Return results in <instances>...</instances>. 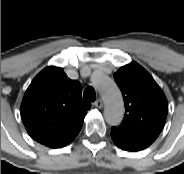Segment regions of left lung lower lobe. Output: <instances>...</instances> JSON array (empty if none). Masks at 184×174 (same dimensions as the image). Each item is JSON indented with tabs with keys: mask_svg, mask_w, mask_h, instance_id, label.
<instances>
[{
	"mask_svg": "<svg viewBox=\"0 0 184 174\" xmlns=\"http://www.w3.org/2000/svg\"><path fill=\"white\" fill-rule=\"evenodd\" d=\"M111 138L121 149L126 151H139L151 145L155 138L137 134L121 127H112Z\"/></svg>",
	"mask_w": 184,
	"mask_h": 174,
	"instance_id": "obj_1",
	"label": "left lung lower lobe"
}]
</instances>
